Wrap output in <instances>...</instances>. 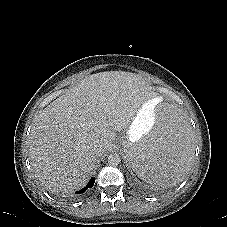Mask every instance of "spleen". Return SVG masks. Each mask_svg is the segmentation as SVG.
<instances>
[{"mask_svg": "<svg viewBox=\"0 0 227 227\" xmlns=\"http://www.w3.org/2000/svg\"><path fill=\"white\" fill-rule=\"evenodd\" d=\"M156 122L143 138L129 143L125 156L142 180L170 187L186 177L194 158V134L179 106L168 96L154 102Z\"/></svg>", "mask_w": 227, "mask_h": 227, "instance_id": "spleen-1", "label": "spleen"}]
</instances>
